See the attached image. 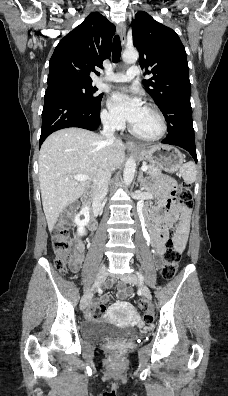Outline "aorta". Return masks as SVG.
<instances>
[{"instance_id":"aorta-1","label":"aorta","mask_w":228,"mask_h":396,"mask_svg":"<svg viewBox=\"0 0 228 396\" xmlns=\"http://www.w3.org/2000/svg\"><path fill=\"white\" fill-rule=\"evenodd\" d=\"M122 58L125 63L133 64L138 60L139 53L135 49H130V50L127 49L123 52ZM135 169H136L135 160L132 157L128 158L127 161L125 162V167L123 172L124 184L126 186H129L132 183L135 174Z\"/></svg>"}]
</instances>
